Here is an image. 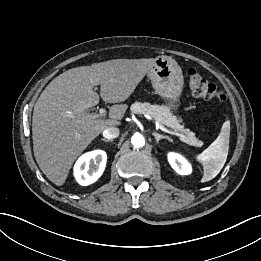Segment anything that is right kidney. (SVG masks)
Wrapping results in <instances>:
<instances>
[{"label":"right kidney","instance_id":"1","mask_svg":"<svg viewBox=\"0 0 261 261\" xmlns=\"http://www.w3.org/2000/svg\"><path fill=\"white\" fill-rule=\"evenodd\" d=\"M106 161L107 155L103 150L83 154L74 165L76 181L82 186L94 183L103 174Z\"/></svg>","mask_w":261,"mask_h":261}]
</instances>
